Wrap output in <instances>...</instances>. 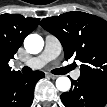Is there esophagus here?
<instances>
[{
  "instance_id": "1",
  "label": "esophagus",
  "mask_w": 107,
  "mask_h": 107,
  "mask_svg": "<svg viewBox=\"0 0 107 107\" xmlns=\"http://www.w3.org/2000/svg\"><path fill=\"white\" fill-rule=\"evenodd\" d=\"M46 75H47L48 77H50L51 79H56V78H57L56 75H53V74H51V73H46Z\"/></svg>"
}]
</instances>
